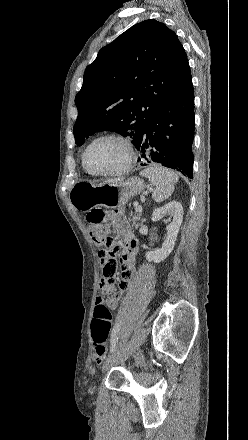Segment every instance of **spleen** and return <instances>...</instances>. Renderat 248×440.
Listing matches in <instances>:
<instances>
[{
    "label": "spleen",
    "instance_id": "3e777b00",
    "mask_svg": "<svg viewBox=\"0 0 248 440\" xmlns=\"http://www.w3.org/2000/svg\"><path fill=\"white\" fill-rule=\"evenodd\" d=\"M140 175L147 177L155 186L152 197L156 202L167 199L174 191L178 176L171 170L162 166H152L140 172Z\"/></svg>",
    "mask_w": 248,
    "mask_h": 440
}]
</instances>
